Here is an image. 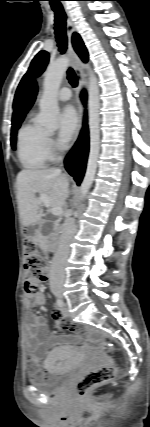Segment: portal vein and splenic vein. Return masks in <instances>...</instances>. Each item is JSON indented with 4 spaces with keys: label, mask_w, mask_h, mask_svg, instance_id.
<instances>
[{
    "label": "portal vein and splenic vein",
    "mask_w": 150,
    "mask_h": 427,
    "mask_svg": "<svg viewBox=\"0 0 150 427\" xmlns=\"http://www.w3.org/2000/svg\"><path fill=\"white\" fill-rule=\"evenodd\" d=\"M39 203H43L46 207H49V198L45 194H40V197L38 199ZM51 213L54 216H60L62 214V208L61 207H54L51 209Z\"/></svg>",
    "instance_id": "18ae733b"
}]
</instances>
